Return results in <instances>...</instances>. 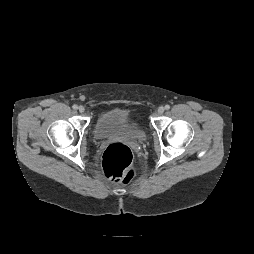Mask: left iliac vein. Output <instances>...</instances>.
Segmentation results:
<instances>
[{
  "instance_id": "4c4485c4",
  "label": "left iliac vein",
  "mask_w": 254,
  "mask_h": 254,
  "mask_svg": "<svg viewBox=\"0 0 254 254\" xmlns=\"http://www.w3.org/2000/svg\"><path fill=\"white\" fill-rule=\"evenodd\" d=\"M164 111H165L164 107H159L158 110H157V113H158L159 115H161V114L164 113Z\"/></svg>"
}]
</instances>
